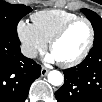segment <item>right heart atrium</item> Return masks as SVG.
Segmentation results:
<instances>
[{
	"mask_svg": "<svg viewBox=\"0 0 102 102\" xmlns=\"http://www.w3.org/2000/svg\"><path fill=\"white\" fill-rule=\"evenodd\" d=\"M17 33L26 56L33 58L46 50L47 41L38 33L32 23L21 20L17 25Z\"/></svg>",
	"mask_w": 102,
	"mask_h": 102,
	"instance_id": "right-heart-atrium-1",
	"label": "right heart atrium"
}]
</instances>
